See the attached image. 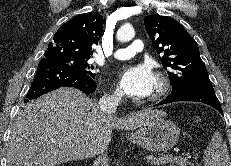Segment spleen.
Returning a JSON list of instances; mask_svg holds the SVG:
<instances>
[{"mask_svg": "<svg viewBox=\"0 0 231 166\" xmlns=\"http://www.w3.org/2000/svg\"><path fill=\"white\" fill-rule=\"evenodd\" d=\"M203 162L205 166H231L227 144L219 132H214L204 151Z\"/></svg>", "mask_w": 231, "mask_h": 166, "instance_id": "spleen-1", "label": "spleen"}]
</instances>
